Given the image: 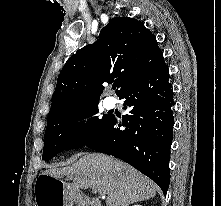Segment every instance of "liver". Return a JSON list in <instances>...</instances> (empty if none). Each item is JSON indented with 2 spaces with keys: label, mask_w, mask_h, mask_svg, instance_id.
I'll use <instances>...</instances> for the list:
<instances>
[{
  "label": "liver",
  "mask_w": 221,
  "mask_h": 206,
  "mask_svg": "<svg viewBox=\"0 0 221 206\" xmlns=\"http://www.w3.org/2000/svg\"><path fill=\"white\" fill-rule=\"evenodd\" d=\"M42 174L73 180L75 188L99 189L106 206H129L156 195V184L127 163L101 153L82 154L78 161L64 168H50Z\"/></svg>",
  "instance_id": "liver-1"
}]
</instances>
